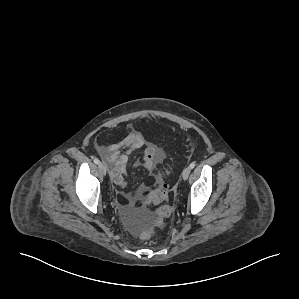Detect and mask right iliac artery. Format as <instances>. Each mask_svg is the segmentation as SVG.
<instances>
[{"label":"right iliac artery","instance_id":"1","mask_svg":"<svg viewBox=\"0 0 299 299\" xmlns=\"http://www.w3.org/2000/svg\"><path fill=\"white\" fill-rule=\"evenodd\" d=\"M93 161H94L95 164H99L100 163L99 159H97V158H95Z\"/></svg>","mask_w":299,"mask_h":299}]
</instances>
